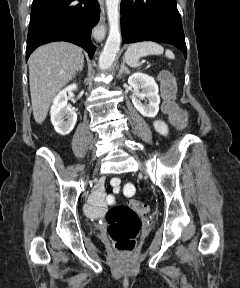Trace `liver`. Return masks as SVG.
I'll return each instance as SVG.
<instances>
[{
	"label": "liver",
	"instance_id": "1",
	"mask_svg": "<svg viewBox=\"0 0 240 288\" xmlns=\"http://www.w3.org/2000/svg\"><path fill=\"white\" fill-rule=\"evenodd\" d=\"M83 61L81 48L67 42L49 43L31 54L29 83L37 123L45 120L53 97L72 79Z\"/></svg>",
	"mask_w": 240,
	"mask_h": 288
}]
</instances>
